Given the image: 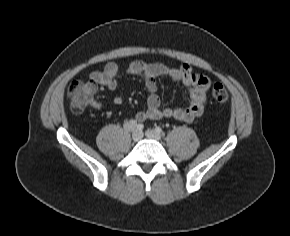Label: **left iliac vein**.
I'll list each match as a JSON object with an SVG mask.
<instances>
[{
  "label": "left iliac vein",
  "mask_w": 290,
  "mask_h": 236,
  "mask_svg": "<svg viewBox=\"0 0 290 236\" xmlns=\"http://www.w3.org/2000/svg\"><path fill=\"white\" fill-rule=\"evenodd\" d=\"M145 135L148 138L156 140V141H160L161 140V135L158 132H156L155 130H152V129L146 130Z\"/></svg>",
  "instance_id": "left-iliac-vein-1"
}]
</instances>
